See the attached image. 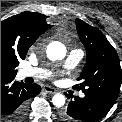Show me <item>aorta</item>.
<instances>
[{
	"label": "aorta",
	"instance_id": "aorta-1",
	"mask_svg": "<svg viewBox=\"0 0 122 122\" xmlns=\"http://www.w3.org/2000/svg\"><path fill=\"white\" fill-rule=\"evenodd\" d=\"M46 53L52 61L62 60L66 55V47L60 42H52L48 45ZM52 103L56 107H62L65 104V96L60 93L55 94Z\"/></svg>",
	"mask_w": 122,
	"mask_h": 122
}]
</instances>
